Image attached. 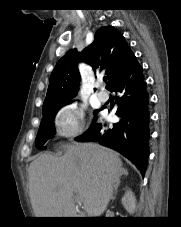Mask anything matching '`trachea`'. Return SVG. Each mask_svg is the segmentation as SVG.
<instances>
[{
    "instance_id": "obj_1",
    "label": "trachea",
    "mask_w": 181,
    "mask_h": 227,
    "mask_svg": "<svg viewBox=\"0 0 181 227\" xmlns=\"http://www.w3.org/2000/svg\"><path fill=\"white\" fill-rule=\"evenodd\" d=\"M103 80H104V82H106L107 81V78L105 77V78H103Z\"/></svg>"
}]
</instances>
